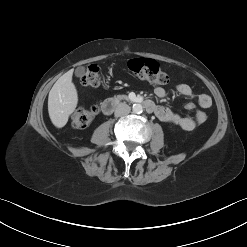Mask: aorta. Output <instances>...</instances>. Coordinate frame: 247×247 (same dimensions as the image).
Instances as JSON below:
<instances>
[{
    "label": "aorta",
    "instance_id": "aorta-1",
    "mask_svg": "<svg viewBox=\"0 0 247 247\" xmlns=\"http://www.w3.org/2000/svg\"><path fill=\"white\" fill-rule=\"evenodd\" d=\"M132 111L136 114H140L143 111V107L141 104H133Z\"/></svg>",
    "mask_w": 247,
    "mask_h": 247
}]
</instances>
